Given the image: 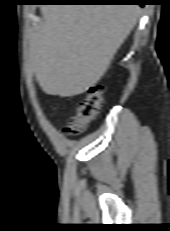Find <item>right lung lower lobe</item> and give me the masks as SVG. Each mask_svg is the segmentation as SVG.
I'll use <instances>...</instances> for the list:
<instances>
[{"label":"right lung lower lobe","instance_id":"98d812e1","mask_svg":"<svg viewBox=\"0 0 170 231\" xmlns=\"http://www.w3.org/2000/svg\"><path fill=\"white\" fill-rule=\"evenodd\" d=\"M143 0H38L45 3H138L143 5Z\"/></svg>","mask_w":170,"mask_h":231}]
</instances>
